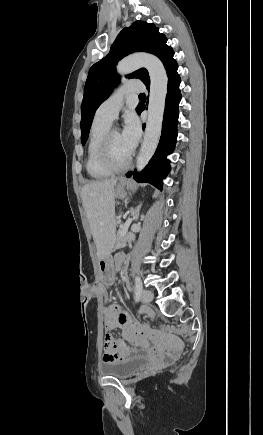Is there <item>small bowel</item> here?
I'll return each instance as SVG.
<instances>
[{
	"label": "small bowel",
	"instance_id": "obj_1",
	"mask_svg": "<svg viewBox=\"0 0 263 435\" xmlns=\"http://www.w3.org/2000/svg\"><path fill=\"white\" fill-rule=\"evenodd\" d=\"M125 263L126 257L117 254L113 259L112 268L117 271ZM125 281L128 282L127 278ZM104 327L106 332L120 329L128 342L135 341L126 343L124 339L114 338L112 350H103V360L106 363L124 360L133 354L146 356L158 354L162 361H177L179 359L177 350L183 348L181 341H173L176 338L173 332L152 331L115 303L108 304L105 309Z\"/></svg>",
	"mask_w": 263,
	"mask_h": 435
}]
</instances>
